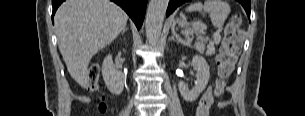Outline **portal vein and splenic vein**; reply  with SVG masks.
I'll return each mask as SVG.
<instances>
[{
    "label": "portal vein and splenic vein",
    "mask_w": 305,
    "mask_h": 116,
    "mask_svg": "<svg viewBox=\"0 0 305 116\" xmlns=\"http://www.w3.org/2000/svg\"><path fill=\"white\" fill-rule=\"evenodd\" d=\"M199 28H201L202 30H206L207 29V25L204 23H198Z\"/></svg>",
    "instance_id": "1"
}]
</instances>
